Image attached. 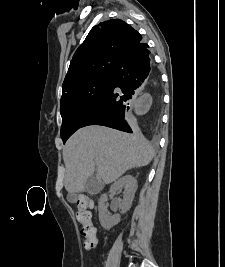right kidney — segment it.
I'll return each instance as SVG.
<instances>
[{
    "mask_svg": "<svg viewBox=\"0 0 225 267\" xmlns=\"http://www.w3.org/2000/svg\"><path fill=\"white\" fill-rule=\"evenodd\" d=\"M124 189L123 199L121 204V213H126L132 205L135 192L137 190V180L132 175H125L115 181L109 190L111 196L115 195L117 191ZM108 200L107 194H103L99 200V220L102 227L106 230L111 229L113 226L120 222V214L110 215L107 211L106 202Z\"/></svg>",
    "mask_w": 225,
    "mask_h": 267,
    "instance_id": "obj_1",
    "label": "right kidney"
}]
</instances>
